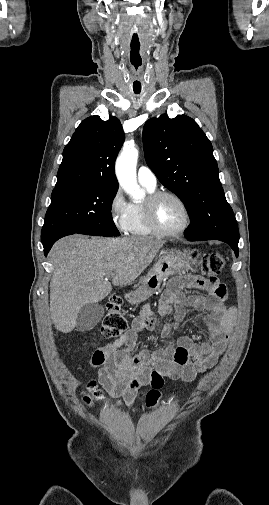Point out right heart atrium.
I'll use <instances>...</instances> for the list:
<instances>
[{
  "mask_svg": "<svg viewBox=\"0 0 269 505\" xmlns=\"http://www.w3.org/2000/svg\"><path fill=\"white\" fill-rule=\"evenodd\" d=\"M130 204L126 201L121 188H117L108 203V212L114 227L126 232L129 222Z\"/></svg>",
  "mask_w": 269,
  "mask_h": 505,
  "instance_id": "right-heart-atrium-1",
  "label": "right heart atrium"
}]
</instances>
